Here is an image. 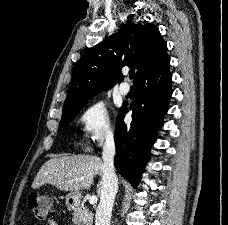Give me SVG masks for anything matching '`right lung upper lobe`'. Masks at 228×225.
Returning <instances> with one entry per match:
<instances>
[{"label": "right lung upper lobe", "mask_w": 228, "mask_h": 225, "mask_svg": "<svg viewBox=\"0 0 228 225\" xmlns=\"http://www.w3.org/2000/svg\"><path fill=\"white\" fill-rule=\"evenodd\" d=\"M167 44L153 24L126 21L122 28L84 52L74 68L64 107L91 99L123 79L121 68L139 76L167 53Z\"/></svg>", "instance_id": "1"}]
</instances>
